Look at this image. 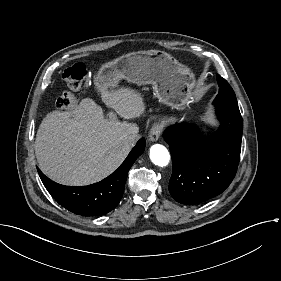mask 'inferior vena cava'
<instances>
[{
    "label": "inferior vena cava",
    "instance_id": "1",
    "mask_svg": "<svg viewBox=\"0 0 281 281\" xmlns=\"http://www.w3.org/2000/svg\"><path fill=\"white\" fill-rule=\"evenodd\" d=\"M121 140H123L124 142L128 143V144H133L138 140V135L136 134H123L120 137Z\"/></svg>",
    "mask_w": 281,
    "mask_h": 281
}]
</instances>
